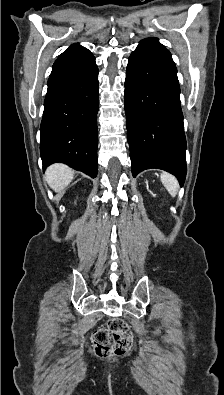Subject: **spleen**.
<instances>
[{
    "label": "spleen",
    "instance_id": "1",
    "mask_svg": "<svg viewBox=\"0 0 224 395\" xmlns=\"http://www.w3.org/2000/svg\"><path fill=\"white\" fill-rule=\"evenodd\" d=\"M161 182L164 185V187L167 189L169 194L173 197L177 195L179 184L173 175L169 173H162L160 176Z\"/></svg>",
    "mask_w": 224,
    "mask_h": 395
}]
</instances>
